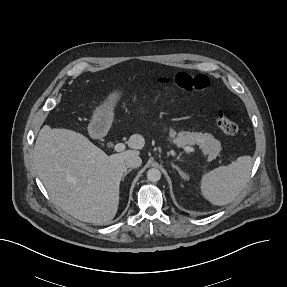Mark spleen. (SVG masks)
Listing matches in <instances>:
<instances>
[{"instance_id":"obj_1","label":"spleen","mask_w":287,"mask_h":287,"mask_svg":"<svg viewBox=\"0 0 287 287\" xmlns=\"http://www.w3.org/2000/svg\"><path fill=\"white\" fill-rule=\"evenodd\" d=\"M252 166V157L240 156L235 162L204 174L200 185L203 196L216 206L231 203L246 186Z\"/></svg>"}]
</instances>
